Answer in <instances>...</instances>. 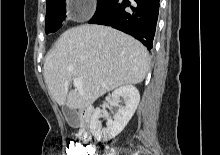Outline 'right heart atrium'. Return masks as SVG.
<instances>
[{
    "label": "right heart atrium",
    "instance_id": "1",
    "mask_svg": "<svg viewBox=\"0 0 220 155\" xmlns=\"http://www.w3.org/2000/svg\"><path fill=\"white\" fill-rule=\"evenodd\" d=\"M93 13L94 7L92 3L89 0H84L78 5L74 18L79 21L85 20L91 17Z\"/></svg>",
    "mask_w": 220,
    "mask_h": 155
}]
</instances>
